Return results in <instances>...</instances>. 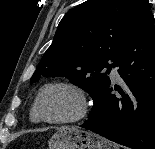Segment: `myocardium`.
<instances>
[{"label": "myocardium", "instance_id": "obj_1", "mask_svg": "<svg viewBox=\"0 0 155 149\" xmlns=\"http://www.w3.org/2000/svg\"><path fill=\"white\" fill-rule=\"evenodd\" d=\"M51 88H65L72 91L77 96L78 109L73 116L61 119H48L42 114V112L40 111V101L43 95ZM32 108L40 121L54 125L78 122L85 118L89 111L88 99L84 89L78 84L70 81H54L45 84L38 92Z\"/></svg>", "mask_w": 155, "mask_h": 149}]
</instances>
